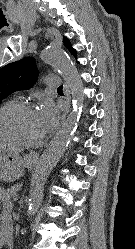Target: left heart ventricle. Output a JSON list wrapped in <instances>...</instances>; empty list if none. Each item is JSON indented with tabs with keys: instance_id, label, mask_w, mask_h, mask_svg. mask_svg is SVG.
<instances>
[{
	"instance_id": "1",
	"label": "left heart ventricle",
	"mask_w": 135,
	"mask_h": 249,
	"mask_svg": "<svg viewBox=\"0 0 135 249\" xmlns=\"http://www.w3.org/2000/svg\"><path fill=\"white\" fill-rule=\"evenodd\" d=\"M4 125L25 141H36L44 134L35 109L10 114L4 119Z\"/></svg>"
}]
</instances>
